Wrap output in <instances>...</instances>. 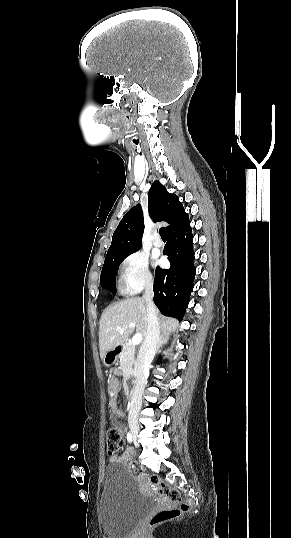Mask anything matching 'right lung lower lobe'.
Here are the masks:
<instances>
[{
    "instance_id": "obj_1",
    "label": "right lung lower lobe",
    "mask_w": 291,
    "mask_h": 538,
    "mask_svg": "<svg viewBox=\"0 0 291 538\" xmlns=\"http://www.w3.org/2000/svg\"><path fill=\"white\" fill-rule=\"evenodd\" d=\"M163 254L168 256L171 266L169 269L156 268L153 300L164 315L182 319L195 276L193 236L189 221L167 233Z\"/></svg>"
}]
</instances>
